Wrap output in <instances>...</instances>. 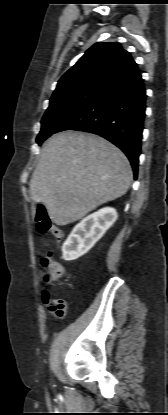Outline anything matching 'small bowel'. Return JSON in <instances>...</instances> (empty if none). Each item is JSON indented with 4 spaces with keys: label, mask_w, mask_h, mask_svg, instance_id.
I'll return each mask as SVG.
<instances>
[{
    "label": "small bowel",
    "mask_w": 168,
    "mask_h": 415,
    "mask_svg": "<svg viewBox=\"0 0 168 415\" xmlns=\"http://www.w3.org/2000/svg\"><path fill=\"white\" fill-rule=\"evenodd\" d=\"M44 304L49 305V310L58 318H62L65 314V303L61 299H51L50 292L44 289L42 292Z\"/></svg>",
    "instance_id": "c3829d8e"
}]
</instances>
